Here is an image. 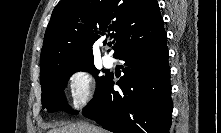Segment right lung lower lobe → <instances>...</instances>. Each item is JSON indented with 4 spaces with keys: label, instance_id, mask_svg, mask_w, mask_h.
<instances>
[{
    "label": "right lung lower lobe",
    "instance_id": "1",
    "mask_svg": "<svg viewBox=\"0 0 221 133\" xmlns=\"http://www.w3.org/2000/svg\"><path fill=\"white\" fill-rule=\"evenodd\" d=\"M167 35L156 42L126 48L124 76L114 91L108 76L83 114L114 133H169L172 101Z\"/></svg>",
    "mask_w": 221,
    "mask_h": 133
}]
</instances>
